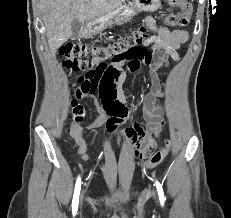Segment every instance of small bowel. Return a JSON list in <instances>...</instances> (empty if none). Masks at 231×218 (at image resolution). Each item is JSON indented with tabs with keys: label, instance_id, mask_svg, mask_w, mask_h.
I'll return each mask as SVG.
<instances>
[{
	"label": "small bowel",
	"instance_id": "small-bowel-1",
	"mask_svg": "<svg viewBox=\"0 0 231 218\" xmlns=\"http://www.w3.org/2000/svg\"><path fill=\"white\" fill-rule=\"evenodd\" d=\"M148 28L153 32L151 36L143 42V47H151L158 52L154 55L143 58V56L116 57L111 63H103L96 69H83V76L78 79L76 95L81 98L89 93L99 91L100 98L105 111L110 115L107 128L110 133H119L126 142L133 148L136 157H148L155 148L153 139L146 135L138 124L118 130V125L127 116L125 107L126 97L122 90V85L126 80L127 70L123 69L127 65L130 72H136L142 65H150L151 86L150 91L145 95L143 102V113L147 123V128L151 132H160L164 120L162 109L156 105V99L162 96L161 84L156 77L159 68L169 65V60L178 61V48L188 40V32L185 30H169L163 26H157L152 17L146 18ZM152 60V62H151ZM117 85V87H116ZM96 124L88 127L92 128ZM73 142L79 156L89 160L87 155L88 143L84 137V127L77 125L73 129Z\"/></svg>",
	"mask_w": 231,
	"mask_h": 218
}]
</instances>
